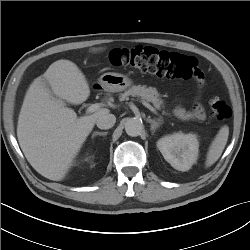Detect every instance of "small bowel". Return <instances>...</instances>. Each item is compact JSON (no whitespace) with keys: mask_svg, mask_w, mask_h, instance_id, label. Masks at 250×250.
<instances>
[{"mask_svg":"<svg viewBox=\"0 0 250 250\" xmlns=\"http://www.w3.org/2000/svg\"><path fill=\"white\" fill-rule=\"evenodd\" d=\"M174 113L183 120L203 121L206 118L205 111L201 105H196L193 110H187L182 106H177Z\"/></svg>","mask_w":250,"mask_h":250,"instance_id":"c3829d8e","label":"small bowel"}]
</instances>
